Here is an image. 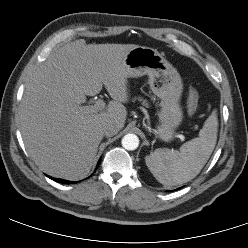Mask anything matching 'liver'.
<instances>
[{
  "label": "liver",
  "mask_w": 248,
  "mask_h": 248,
  "mask_svg": "<svg viewBox=\"0 0 248 248\" xmlns=\"http://www.w3.org/2000/svg\"><path fill=\"white\" fill-rule=\"evenodd\" d=\"M134 44H86L80 39L58 48L31 74L19 111V125L29 156L43 172L67 180L88 175L102 127H124L129 99L125 64ZM103 85L113 99L105 111L81 106Z\"/></svg>",
  "instance_id": "liver-1"
}]
</instances>
